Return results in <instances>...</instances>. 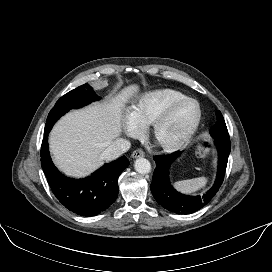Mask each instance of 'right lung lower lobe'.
<instances>
[{"instance_id":"obj_1","label":"right lung lower lobe","mask_w":272,"mask_h":272,"mask_svg":"<svg viewBox=\"0 0 272 272\" xmlns=\"http://www.w3.org/2000/svg\"><path fill=\"white\" fill-rule=\"evenodd\" d=\"M44 132L41 165L56 198L70 211L81 216H95L106 210L118 196V177L128 167L125 156L105 164L91 176L74 180L62 175L54 166Z\"/></svg>"}]
</instances>
